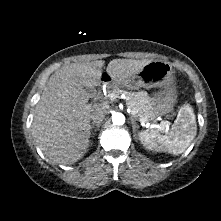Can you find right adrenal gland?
Returning a JSON list of instances; mask_svg holds the SVG:
<instances>
[{"label": "right adrenal gland", "instance_id": "2a0ac1e0", "mask_svg": "<svg viewBox=\"0 0 221 221\" xmlns=\"http://www.w3.org/2000/svg\"><path fill=\"white\" fill-rule=\"evenodd\" d=\"M95 126H96L95 131H97L98 128L100 127V122H92L91 131L95 128Z\"/></svg>", "mask_w": 221, "mask_h": 221}]
</instances>
